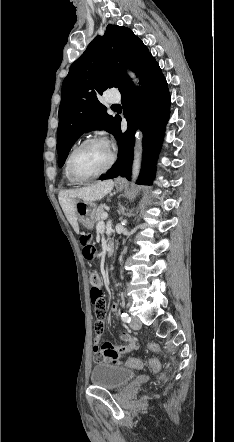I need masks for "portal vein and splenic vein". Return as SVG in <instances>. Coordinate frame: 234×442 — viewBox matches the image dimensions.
<instances>
[{
  "label": "portal vein and splenic vein",
  "instance_id": "1",
  "mask_svg": "<svg viewBox=\"0 0 234 442\" xmlns=\"http://www.w3.org/2000/svg\"><path fill=\"white\" fill-rule=\"evenodd\" d=\"M108 218V214L107 213H103L102 214V220H105V219H107Z\"/></svg>",
  "mask_w": 234,
  "mask_h": 442
}]
</instances>
